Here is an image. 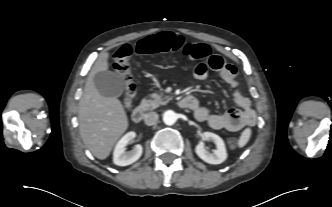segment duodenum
<instances>
[{"label":"duodenum","mask_w":332,"mask_h":207,"mask_svg":"<svg viewBox=\"0 0 332 207\" xmlns=\"http://www.w3.org/2000/svg\"><path fill=\"white\" fill-rule=\"evenodd\" d=\"M195 97L192 95H186L184 96L180 101H179V105L182 108H187L190 109L195 101ZM145 112H146V107L145 105H140L138 107H136L131 114V118L135 123H140L143 121L144 117H145Z\"/></svg>","instance_id":"410a0bca"}]
</instances>
